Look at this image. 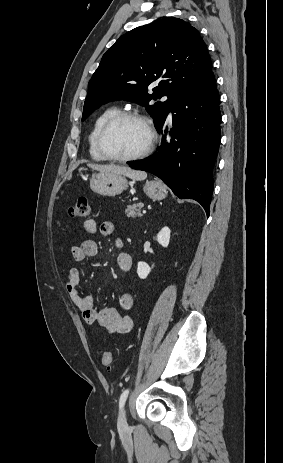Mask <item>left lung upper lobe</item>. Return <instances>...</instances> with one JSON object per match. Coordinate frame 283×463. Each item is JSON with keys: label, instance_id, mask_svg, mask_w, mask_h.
<instances>
[{"label": "left lung upper lobe", "instance_id": "obj_1", "mask_svg": "<svg viewBox=\"0 0 283 463\" xmlns=\"http://www.w3.org/2000/svg\"><path fill=\"white\" fill-rule=\"evenodd\" d=\"M210 70L206 45L188 22L167 17L137 27L103 55L88 84L82 121L102 104L125 99L145 106L158 129L174 99ZM156 81L158 86L149 94L147 87ZM163 96L168 99L149 104Z\"/></svg>", "mask_w": 283, "mask_h": 463}]
</instances>
